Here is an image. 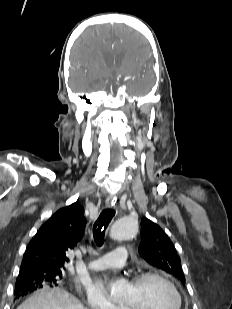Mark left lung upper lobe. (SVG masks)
<instances>
[{"mask_svg":"<svg viewBox=\"0 0 232 309\" xmlns=\"http://www.w3.org/2000/svg\"><path fill=\"white\" fill-rule=\"evenodd\" d=\"M139 253L150 265L159 268L185 282L181 259L166 233L147 218L141 221Z\"/></svg>","mask_w":232,"mask_h":309,"instance_id":"1","label":"left lung upper lobe"}]
</instances>
